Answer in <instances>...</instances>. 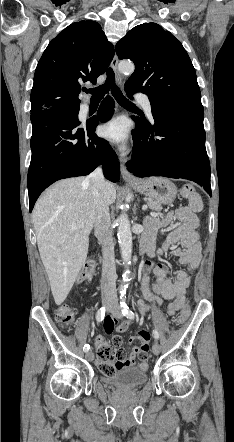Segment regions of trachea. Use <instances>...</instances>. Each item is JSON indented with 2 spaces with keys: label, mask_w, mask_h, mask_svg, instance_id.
<instances>
[{
  "label": "trachea",
  "mask_w": 234,
  "mask_h": 442,
  "mask_svg": "<svg viewBox=\"0 0 234 442\" xmlns=\"http://www.w3.org/2000/svg\"><path fill=\"white\" fill-rule=\"evenodd\" d=\"M115 76L112 68L107 70V78L102 86L87 90L92 95V100H101L104 95L111 89V93L116 101L124 107H135V105L124 97L119 87L115 84Z\"/></svg>",
  "instance_id": "3493384b"
}]
</instances>
